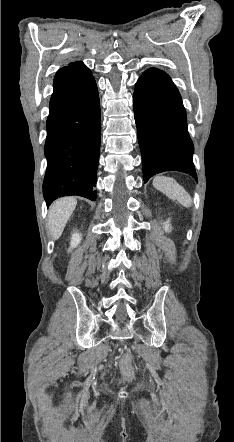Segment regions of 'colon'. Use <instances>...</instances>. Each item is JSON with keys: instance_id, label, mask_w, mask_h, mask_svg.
Instances as JSON below:
<instances>
[{"instance_id": "colon-1", "label": "colon", "mask_w": 234, "mask_h": 442, "mask_svg": "<svg viewBox=\"0 0 234 442\" xmlns=\"http://www.w3.org/2000/svg\"><path fill=\"white\" fill-rule=\"evenodd\" d=\"M133 355L131 352H127L123 355L121 359V370L125 378L129 379L130 382H135L134 370L132 367Z\"/></svg>"}]
</instances>
